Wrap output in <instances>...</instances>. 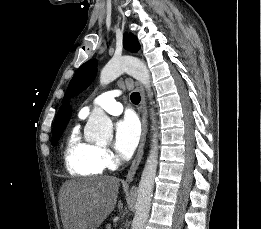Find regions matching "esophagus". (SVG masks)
<instances>
[{
	"mask_svg": "<svg viewBox=\"0 0 261 229\" xmlns=\"http://www.w3.org/2000/svg\"><path fill=\"white\" fill-rule=\"evenodd\" d=\"M139 90H140V94H141V102H140L139 111L142 116L141 137H140V142H139V146H138L136 155H135L132 165L129 168V171L127 173L126 182H130L133 179V177L139 167V164H140L142 156H143L144 146H145L146 137H147V133H148V110H147L144 89L141 84H139Z\"/></svg>",
	"mask_w": 261,
	"mask_h": 229,
	"instance_id": "1",
	"label": "esophagus"
}]
</instances>
